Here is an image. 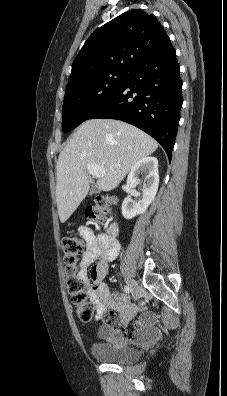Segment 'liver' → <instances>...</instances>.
Returning a JSON list of instances; mask_svg holds the SVG:
<instances>
[{
    "mask_svg": "<svg viewBox=\"0 0 227 396\" xmlns=\"http://www.w3.org/2000/svg\"><path fill=\"white\" fill-rule=\"evenodd\" d=\"M158 143L125 122L91 119L82 123L60 152L56 166V201L61 223H65L89 191L88 164L105 171L97 181L102 191L115 189L132 166L151 155Z\"/></svg>",
    "mask_w": 227,
    "mask_h": 396,
    "instance_id": "liver-1",
    "label": "liver"
}]
</instances>
